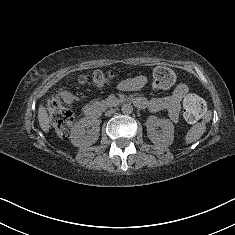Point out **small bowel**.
<instances>
[{"mask_svg": "<svg viewBox=\"0 0 235 235\" xmlns=\"http://www.w3.org/2000/svg\"><path fill=\"white\" fill-rule=\"evenodd\" d=\"M135 84H143L144 78L137 77ZM188 93V87L184 83L175 85L171 95L161 98L134 97L133 102L140 108L150 112L166 111L169 119L176 122L179 118L181 102Z\"/></svg>", "mask_w": 235, "mask_h": 235, "instance_id": "1", "label": "small bowel"}]
</instances>
